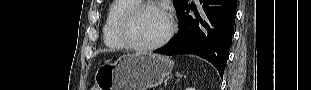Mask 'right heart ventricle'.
I'll list each match as a JSON object with an SVG mask.
<instances>
[{
  "label": "right heart ventricle",
  "mask_w": 311,
  "mask_h": 90,
  "mask_svg": "<svg viewBox=\"0 0 311 90\" xmlns=\"http://www.w3.org/2000/svg\"><path fill=\"white\" fill-rule=\"evenodd\" d=\"M138 0H115L111 3L103 27L105 45L112 50H122L126 46L119 36V24L123 15L135 5Z\"/></svg>",
  "instance_id": "e07e8e85"
}]
</instances>
